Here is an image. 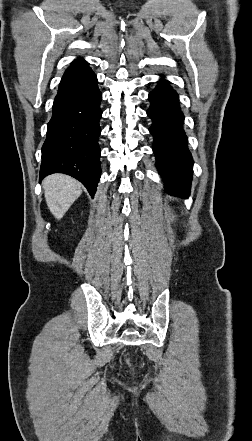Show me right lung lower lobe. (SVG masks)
Listing matches in <instances>:
<instances>
[{
  "mask_svg": "<svg viewBox=\"0 0 252 441\" xmlns=\"http://www.w3.org/2000/svg\"><path fill=\"white\" fill-rule=\"evenodd\" d=\"M86 61L65 71L42 147L40 180L64 173L79 180L93 197L100 179L99 120L102 94Z\"/></svg>",
  "mask_w": 252,
  "mask_h": 441,
  "instance_id": "1",
  "label": "right lung lower lobe"
}]
</instances>
